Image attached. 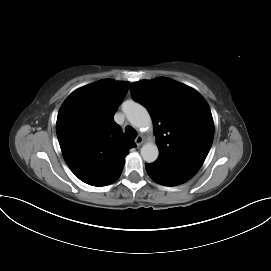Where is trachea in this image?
<instances>
[{
	"instance_id": "trachea-1",
	"label": "trachea",
	"mask_w": 271,
	"mask_h": 271,
	"mask_svg": "<svg viewBox=\"0 0 271 271\" xmlns=\"http://www.w3.org/2000/svg\"><path fill=\"white\" fill-rule=\"evenodd\" d=\"M125 133H126L127 137H129L131 139H134L137 136V131L131 126L126 127Z\"/></svg>"
}]
</instances>
